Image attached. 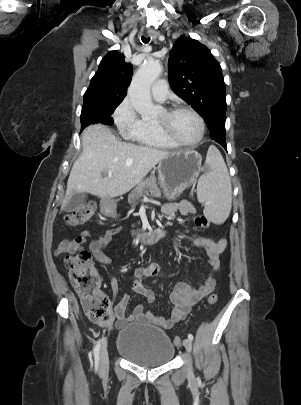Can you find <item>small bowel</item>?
<instances>
[{
    "label": "small bowel",
    "mask_w": 301,
    "mask_h": 405,
    "mask_svg": "<svg viewBox=\"0 0 301 405\" xmlns=\"http://www.w3.org/2000/svg\"><path fill=\"white\" fill-rule=\"evenodd\" d=\"M164 214L172 218L179 213L182 216L195 214L196 209L194 205L188 200H182L177 203H171L165 206ZM121 228H113L106 232L104 235L92 240L89 248L95 259L102 265L110 263L109 256L105 253L106 247L111 243L113 235L119 233ZM75 242L74 240H64L58 246L56 253L62 254L69 252ZM195 247L202 248L207 257L208 264L211 268L210 273L206 276L204 281L197 287L189 285L184 282H179L174 285L170 292V304L172 312L169 318L157 316L150 311H146L142 304L137 305L133 311L128 315L127 307L129 304L130 295L128 293L121 296L115 304L116 327L122 328L129 323L133 322H147L157 325L165 330H170L174 325L186 318L194 305L204 299L210 294L216 285L215 275L220 269V255L227 247L225 239L212 240L207 237H196L192 240ZM159 273V266L157 264H150L145 267H138L134 271V279L132 290L138 294L143 295L149 303L155 301V293L152 289L147 287L144 279L153 278ZM111 291L113 297H117L119 287L117 280L112 277L110 280Z\"/></svg>",
    "instance_id": "small-bowel-1"
}]
</instances>
